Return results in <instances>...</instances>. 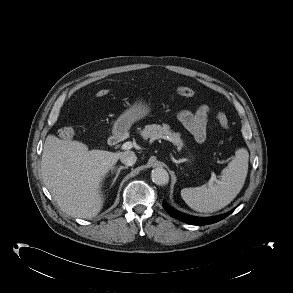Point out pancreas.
I'll return each mask as SVG.
<instances>
[{
  "mask_svg": "<svg viewBox=\"0 0 293 293\" xmlns=\"http://www.w3.org/2000/svg\"><path fill=\"white\" fill-rule=\"evenodd\" d=\"M140 134L144 139H166L177 146L178 151L183 147V141L180 138V134L174 133L170 130L167 124L157 125L151 124L146 125L143 130H140Z\"/></svg>",
  "mask_w": 293,
  "mask_h": 293,
  "instance_id": "obj_1",
  "label": "pancreas"
}]
</instances>
